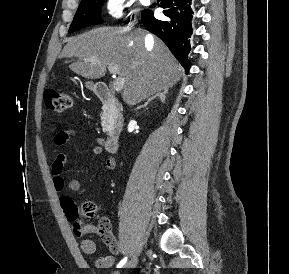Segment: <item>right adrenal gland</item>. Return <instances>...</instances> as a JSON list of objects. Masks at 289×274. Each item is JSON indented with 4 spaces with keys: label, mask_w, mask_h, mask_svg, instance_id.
Returning <instances> with one entry per match:
<instances>
[{
    "label": "right adrenal gland",
    "mask_w": 289,
    "mask_h": 274,
    "mask_svg": "<svg viewBox=\"0 0 289 274\" xmlns=\"http://www.w3.org/2000/svg\"><path fill=\"white\" fill-rule=\"evenodd\" d=\"M167 94H168V89H165V90H163V92H159V93L155 94L154 96L149 98L143 105L137 107L136 110H139L143 107H146L151 101L155 100L156 98H159L162 103H165Z\"/></svg>",
    "instance_id": "right-adrenal-gland-1"
}]
</instances>
